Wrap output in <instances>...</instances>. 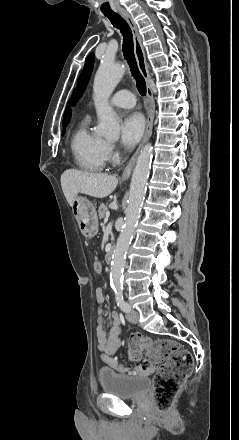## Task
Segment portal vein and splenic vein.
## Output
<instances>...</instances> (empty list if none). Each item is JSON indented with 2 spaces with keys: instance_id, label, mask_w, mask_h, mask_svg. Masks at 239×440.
Segmentation results:
<instances>
[{
  "instance_id": "obj_1",
  "label": "portal vein and splenic vein",
  "mask_w": 239,
  "mask_h": 440,
  "mask_svg": "<svg viewBox=\"0 0 239 440\" xmlns=\"http://www.w3.org/2000/svg\"><path fill=\"white\" fill-rule=\"evenodd\" d=\"M109 216H110V212H106V220H108Z\"/></svg>"
}]
</instances>
